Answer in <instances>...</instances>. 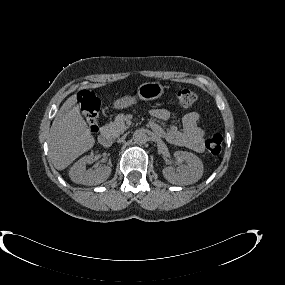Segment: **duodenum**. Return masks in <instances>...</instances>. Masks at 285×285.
<instances>
[{"mask_svg": "<svg viewBox=\"0 0 285 285\" xmlns=\"http://www.w3.org/2000/svg\"><path fill=\"white\" fill-rule=\"evenodd\" d=\"M98 139H99L100 144H102L103 146L108 147V146H110V144H111L110 135H109V133L106 132V131H102V132L99 134Z\"/></svg>", "mask_w": 285, "mask_h": 285, "instance_id": "duodenum-1", "label": "duodenum"}]
</instances>
